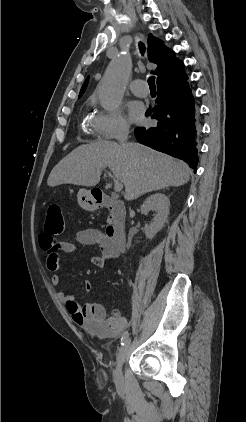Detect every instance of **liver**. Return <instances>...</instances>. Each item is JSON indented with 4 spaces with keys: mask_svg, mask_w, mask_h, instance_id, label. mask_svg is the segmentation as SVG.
<instances>
[{
    "mask_svg": "<svg viewBox=\"0 0 246 422\" xmlns=\"http://www.w3.org/2000/svg\"><path fill=\"white\" fill-rule=\"evenodd\" d=\"M106 167L124 184L127 201L166 187L182 186L191 173L187 164L138 143L123 147L113 141H99L79 146L64 157L51 171L47 184L93 187Z\"/></svg>",
    "mask_w": 246,
    "mask_h": 422,
    "instance_id": "obj_1",
    "label": "liver"
}]
</instances>
